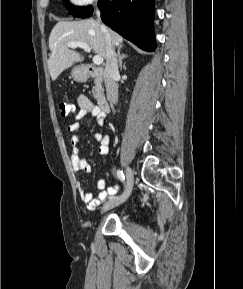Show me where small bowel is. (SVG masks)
I'll list each match as a JSON object with an SVG mask.
<instances>
[{"label":"small bowel","mask_w":243,"mask_h":289,"mask_svg":"<svg viewBox=\"0 0 243 289\" xmlns=\"http://www.w3.org/2000/svg\"><path fill=\"white\" fill-rule=\"evenodd\" d=\"M77 102L79 105V111L75 115L76 121L71 122L67 126V130L73 133V136L70 139V165L74 173L84 171L85 173L90 174L92 172V167L84 158L82 151L78 146L80 139L78 133L81 128L78 121L85 118L86 116H91L96 119L99 125L102 126L105 123L106 115L102 113L100 109L84 95H78ZM95 138L99 142V154L101 155L104 162L110 152V136L105 133H97ZM96 186L98 189V194L95 198H93L89 191H87L79 182L77 183V190L80 198L86 204L88 210H95L106 200L109 195L118 191V186L107 187L106 181L104 179H99Z\"/></svg>","instance_id":"obj_1"}]
</instances>
